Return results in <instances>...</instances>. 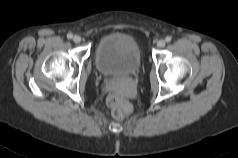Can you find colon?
Listing matches in <instances>:
<instances>
[{"mask_svg":"<svg viewBox=\"0 0 238 158\" xmlns=\"http://www.w3.org/2000/svg\"><path fill=\"white\" fill-rule=\"evenodd\" d=\"M108 103L112 109L115 118L121 119L130 112L129 103L116 93H112L108 97Z\"/></svg>","mask_w":238,"mask_h":158,"instance_id":"5ec220e1","label":"colon"}]
</instances>
